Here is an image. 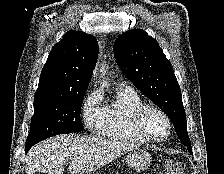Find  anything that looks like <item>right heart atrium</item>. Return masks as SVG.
<instances>
[{
  "label": "right heart atrium",
  "instance_id": "obj_1",
  "mask_svg": "<svg viewBox=\"0 0 224 174\" xmlns=\"http://www.w3.org/2000/svg\"><path fill=\"white\" fill-rule=\"evenodd\" d=\"M82 118L89 130L98 131L102 118V95L98 90L86 96L82 105Z\"/></svg>",
  "mask_w": 224,
  "mask_h": 174
}]
</instances>
